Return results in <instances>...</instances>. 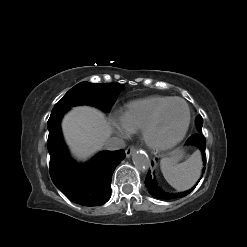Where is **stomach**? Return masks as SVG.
<instances>
[{
	"mask_svg": "<svg viewBox=\"0 0 247 247\" xmlns=\"http://www.w3.org/2000/svg\"><path fill=\"white\" fill-rule=\"evenodd\" d=\"M171 157L175 159L176 162H178L179 160H181L184 156V150L181 148H177L175 150H173L170 153Z\"/></svg>",
	"mask_w": 247,
	"mask_h": 247,
	"instance_id": "stomach-1",
	"label": "stomach"
}]
</instances>
